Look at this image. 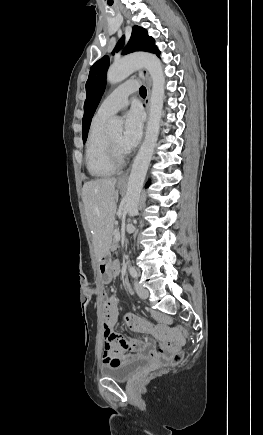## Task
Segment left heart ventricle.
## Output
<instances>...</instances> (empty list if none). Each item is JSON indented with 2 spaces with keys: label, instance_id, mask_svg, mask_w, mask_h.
Masks as SVG:
<instances>
[{
  "label": "left heart ventricle",
  "instance_id": "b2bd125f",
  "mask_svg": "<svg viewBox=\"0 0 263 435\" xmlns=\"http://www.w3.org/2000/svg\"><path fill=\"white\" fill-rule=\"evenodd\" d=\"M109 139L111 140V142L115 146H117L118 148H122V146H121L122 134L121 133H116V134L110 135Z\"/></svg>",
  "mask_w": 263,
  "mask_h": 435
}]
</instances>
